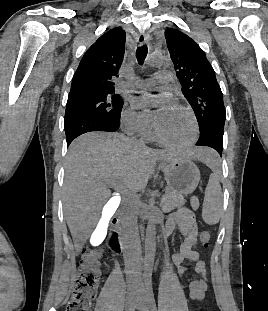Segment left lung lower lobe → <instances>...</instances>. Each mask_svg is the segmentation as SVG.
Here are the masks:
<instances>
[{
    "instance_id": "left-lung-lower-lobe-1",
    "label": "left lung lower lobe",
    "mask_w": 268,
    "mask_h": 311,
    "mask_svg": "<svg viewBox=\"0 0 268 311\" xmlns=\"http://www.w3.org/2000/svg\"><path fill=\"white\" fill-rule=\"evenodd\" d=\"M223 133L222 129L211 130L200 134V138L196 145L206 144L208 147L214 148L222 157L223 149Z\"/></svg>"
}]
</instances>
